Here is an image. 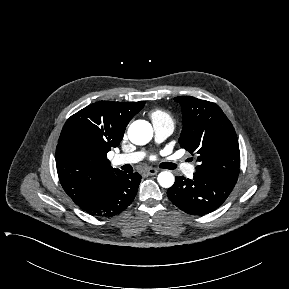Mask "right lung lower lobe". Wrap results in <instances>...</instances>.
Here are the masks:
<instances>
[{
    "label": "right lung lower lobe",
    "mask_w": 289,
    "mask_h": 289,
    "mask_svg": "<svg viewBox=\"0 0 289 289\" xmlns=\"http://www.w3.org/2000/svg\"><path fill=\"white\" fill-rule=\"evenodd\" d=\"M141 181L138 173L120 172L88 198L76 203L94 216L110 217L125 210L137 194Z\"/></svg>",
    "instance_id": "right-lung-lower-lobe-1"
}]
</instances>
